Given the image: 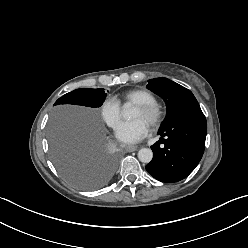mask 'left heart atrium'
I'll use <instances>...</instances> for the list:
<instances>
[{"instance_id":"39dd6f15","label":"left heart atrium","mask_w":248,"mask_h":248,"mask_svg":"<svg viewBox=\"0 0 248 248\" xmlns=\"http://www.w3.org/2000/svg\"><path fill=\"white\" fill-rule=\"evenodd\" d=\"M148 124L140 119L122 122L116 129V137L123 143L134 144L146 136Z\"/></svg>"}]
</instances>
